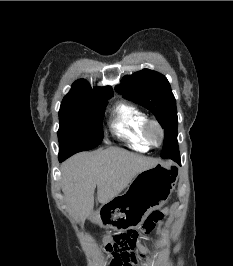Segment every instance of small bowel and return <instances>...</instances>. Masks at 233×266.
I'll return each mask as SVG.
<instances>
[{"instance_id": "1", "label": "small bowel", "mask_w": 233, "mask_h": 266, "mask_svg": "<svg viewBox=\"0 0 233 266\" xmlns=\"http://www.w3.org/2000/svg\"><path fill=\"white\" fill-rule=\"evenodd\" d=\"M157 233H160V230H157ZM109 241V239H106V243ZM136 251L140 256H143V254L147 253V248L144 246V244L140 240V234L137 232L136 237ZM113 266H121L119 264H114Z\"/></svg>"}]
</instances>
